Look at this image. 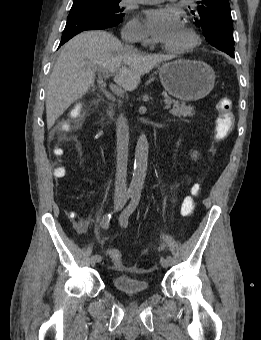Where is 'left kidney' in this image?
I'll use <instances>...</instances> for the list:
<instances>
[{"mask_svg":"<svg viewBox=\"0 0 261 340\" xmlns=\"http://www.w3.org/2000/svg\"><path fill=\"white\" fill-rule=\"evenodd\" d=\"M191 158L194 159V161H196L199 157V153L198 151H193L192 153H190Z\"/></svg>","mask_w":261,"mask_h":340,"instance_id":"5707ae66","label":"left kidney"}]
</instances>
